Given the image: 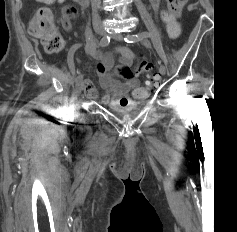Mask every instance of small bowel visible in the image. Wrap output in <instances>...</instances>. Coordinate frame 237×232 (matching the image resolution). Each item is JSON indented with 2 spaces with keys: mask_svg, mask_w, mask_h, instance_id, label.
<instances>
[{
  "mask_svg": "<svg viewBox=\"0 0 237 232\" xmlns=\"http://www.w3.org/2000/svg\"><path fill=\"white\" fill-rule=\"evenodd\" d=\"M156 14H158L161 0H149ZM188 0H167L168 9L176 17L181 14L182 9ZM64 11V10H63ZM72 20L68 19L64 13L59 24L64 30H71ZM89 54L99 61L95 73L99 77L100 85L103 88L102 102L105 104H126L131 102L129 94L135 99L141 100L149 95V90L140 85L139 80L132 72V64L136 58L135 53L128 47L117 46L116 52L119 54V64L115 65L110 54L103 53L96 46L92 39L86 43ZM84 89L88 97H97V89L90 80L84 81Z\"/></svg>",
  "mask_w": 237,
  "mask_h": 232,
  "instance_id": "small-bowel-1",
  "label": "small bowel"
}]
</instances>
